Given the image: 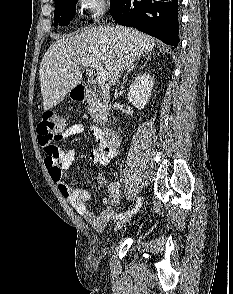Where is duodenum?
Masks as SVG:
<instances>
[{"instance_id":"1","label":"duodenum","mask_w":233,"mask_h":294,"mask_svg":"<svg viewBox=\"0 0 233 294\" xmlns=\"http://www.w3.org/2000/svg\"><path fill=\"white\" fill-rule=\"evenodd\" d=\"M89 93L88 88L85 85H78L74 89V96L76 100H84ZM103 138L106 142H108L111 145H118L119 143V137L116 131H114L110 127H106L102 130Z\"/></svg>"}]
</instances>
